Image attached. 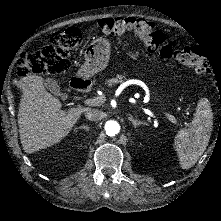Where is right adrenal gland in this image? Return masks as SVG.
<instances>
[{
  "label": "right adrenal gland",
  "instance_id": "2a0ac1e0",
  "mask_svg": "<svg viewBox=\"0 0 221 221\" xmlns=\"http://www.w3.org/2000/svg\"><path fill=\"white\" fill-rule=\"evenodd\" d=\"M80 128H81V129H86L87 131H89V129H90V127L87 126V125H83V126H81Z\"/></svg>",
  "mask_w": 221,
  "mask_h": 221
}]
</instances>
